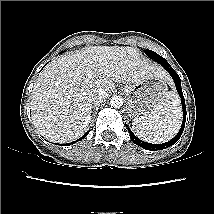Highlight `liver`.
<instances>
[{
  "instance_id": "1",
  "label": "liver",
  "mask_w": 214,
  "mask_h": 214,
  "mask_svg": "<svg viewBox=\"0 0 214 214\" xmlns=\"http://www.w3.org/2000/svg\"><path fill=\"white\" fill-rule=\"evenodd\" d=\"M153 76L167 78L157 64L129 46H91L52 60L32 91V121L39 133L56 143L82 136L91 120L89 94L107 93L115 83L132 84Z\"/></svg>"
}]
</instances>
